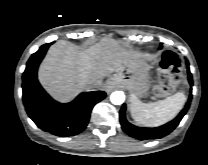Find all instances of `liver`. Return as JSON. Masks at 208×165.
<instances>
[{"mask_svg":"<svg viewBox=\"0 0 208 165\" xmlns=\"http://www.w3.org/2000/svg\"><path fill=\"white\" fill-rule=\"evenodd\" d=\"M136 57L112 39H103L87 48L58 41L48 50L38 78L55 99L67 102L87 89L90 82L105 88L103 78L130 64Z\"/></svg>","mask_w":208,"mask_h":165,"instance_id":"obj_1","label":"liver"}]
</instances>
